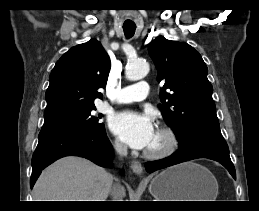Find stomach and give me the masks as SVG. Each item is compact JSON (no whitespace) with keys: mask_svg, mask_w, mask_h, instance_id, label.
Instances as JSON below:
<instances>
[{"mask_svg":"<svg viewBox=\"0 0 259 211\" xmlns=\"http://www.w3.org/2000/svg\"><path fill=\"white\" fill-rule=\"evenodd\" d=\"M149 192L157 201H215L218 183L207 168L186 162L154 176Z\"/></svg>","mask_w":259,"mask_h":211,"instance_id":"1","label":"stomach"}]
</instances>
